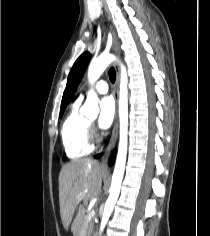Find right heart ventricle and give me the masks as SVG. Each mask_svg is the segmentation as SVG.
Segmentation results:
<instances>
[{
  "mask_svg": "<svg viewBox=\"0 0 210 236\" xmlns=\"http://www.w3.org/2000/svg\"><path fill=\"white\" fill-rule=\"evenodd\" d=\"M80 105V100L72 104L61 129L63 148L70 159L84 157L93 150L89 122L80 114Z\"/></svg>",
  "mask_w": 210,
  "mask_h": 236,
  "instance_id": "1",
  "label": "right heart ventricle"
}]
</instances>
